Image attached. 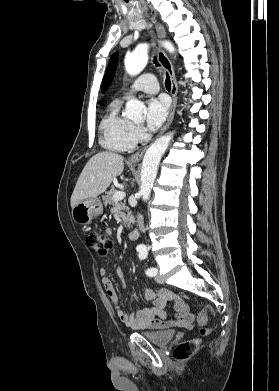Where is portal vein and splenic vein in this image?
I'll list each match as a JSON object with an SVG mask.
<instances>
[{"mask_svg": "<svg viewBox=\"0 0 279 391\" xmlns=\"http://www.w3.org/2000/svg\"><path fill=\"white\" fill-rule=\"evenodd\" d=\"M125 196H126V194L124 191H116V193L113 196V201L114 202L120 201V200L124 199Z\"/></svg>", "mask_w": 279, "mask_h": 391, "instance_id": "18ae733b", "label": "portal vein and splenic vein"}]
</instances>
